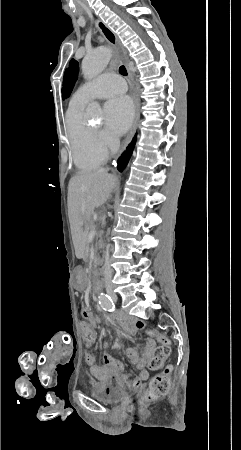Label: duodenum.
I'll return each mask as SVG.
<instances>
[{
  "label": "duodenum",
  "mask_w": 241,
  "mask_h": 450,
  "mask_svg": "<svg viewBox=\"0 0 241 450\" xmlns=\"http://www.w3.org/2000/svg\"><path fill=\"white\" fill-rule=\"evenodd\" d=\"M101 288L100 280L95 276L94 270H92L91 289L98 291Z\"/></svg>",
  "instance_id": "obj_1"
}]
</instances>
